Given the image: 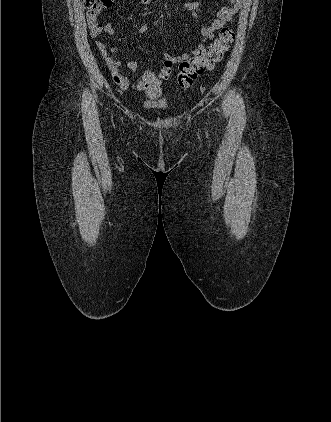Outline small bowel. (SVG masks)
<instances>
[{"mask_svg": "<svg viewBox=\"0 0 331 422\" xmlns=\"http://www.w3.org/2000/svg\"><path fill=\"white\" fill-rule=\"evenodd\" d=\"M139 2L142 5H151L153 0H139ZM242 3L243 0H228V5L219 9L215 20H213L208 25H202L200 27L202 42L196 45L190 52H185L179 55L164 53L162 69L159 72L158 77L162 80H167L175 65L180 64L185 60L200 56V54H202L205 50L204 43L211 40L215 36L216 32L233 18V16L241 9ZM184 7L192 15L195 22H202L201 8L197 1L185 0ZM89 27L90 34L93 38H97L102 32H105L109 35H112L115 32V28L112 22H107L106 24L102 25L94 20L89 22ZM148 30V26H141L138 29L137 34L140 36ZM96 46L105 64L107 65L113 80L121 89L143 91V83L141 80L132 84L124 74V68L129 71H135L137 69V64L135 61L113 58L110 53H115L118 50V47L116 46L109 50L107 45L100 40L96 41ZM151 48L156 49L157 47L152 46Z\"/></svg>", "mask_w": 331, "mask_h": 422, "instance_id": "1", "label": "small bowel"}]
</instances>
